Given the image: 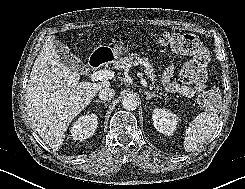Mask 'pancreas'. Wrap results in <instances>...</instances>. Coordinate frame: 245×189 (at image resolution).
I'll list each match as a JSON object with an SVG mask.
<instances>
[{"label":"pancreas","mask_w":245,"mask_h":189,"mask_svg":"<svg viewBox=\"0 0 245 189\" xmlns=\"http://www.w3.org/2000/svg\"><path fill=\"white\" fill-rule=\"evenodd\" d=\"M134 62H137L138 64H141L145 67L144 74L147 76L148 79L152 81V87L159 90V88L155 87L154 85V81L156 80V75H155L154 67L152 66V64H150L148 58H140L136 53H134V54H130L129 56L120 57L118 60L114 62V66L119 70H123L129 63H134Z\"/></svg>","instance_id":"obj_1"}]
</instances>
